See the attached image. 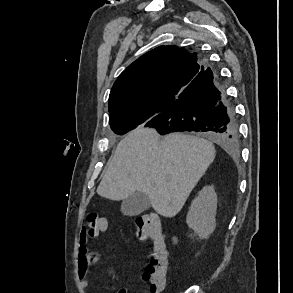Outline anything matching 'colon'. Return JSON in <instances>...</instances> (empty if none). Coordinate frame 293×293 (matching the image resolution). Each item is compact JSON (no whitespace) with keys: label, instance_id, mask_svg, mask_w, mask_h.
<instances>
[{"label":"colon","instance_id":"obj_1","mask_svg":"<svg viewBox=\"0 0 293 293\" xmlns=\"http://www.w3.org/2000/svg\"><path fill=\"white\" fill-rule=\"evenodd\" d=\"M106 227V219L97 212L85 214L84 229L89 237H97ZM134 232L137 239L152 243L143 277L149 284L150 293H162L169 272V255L159 215L148 213L138 216L134 221Z\"/></svg>","mask_w":293,"mask_h":293}]
</instances>
